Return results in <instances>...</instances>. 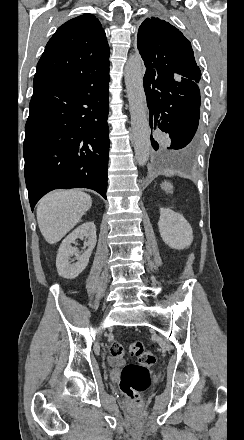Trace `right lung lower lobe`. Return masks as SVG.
Wrapping results in <instances>:
<instances>
[{
	"mask_svg": "<svg viewBox=\"0 0 244 440\" xmlns=\"http://www.w3.org/2000/svg\"><path fill=\"white\" fill-rule=\"evenodd\" d=\"M109 67L34 88L23 145L33 210L53 189L89 188L106 199Z\"/></svg>",
	"mask_w": 244,
	"mask_h": 440,
	"instance_id": "1",
	"label": "right lung lower lobe"
}]
</instances>
